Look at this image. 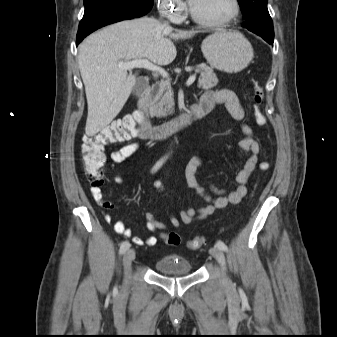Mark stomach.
Here are the masks:
<instances>
[{"mask_svg":"<svg viewBox=\"0 0 337 337\" xmlns=\"http://www.w3.org/2000/svg\"><path fill=\"white\" fill-rule=\"evenodd\" d=\"M201 49L212 67L227 73L242 71L253 59L250 42L237 31L214 33L204 39Z\"/></svg>","mask_w":337,"mask_h":337,"instance_id":"stomach-1","label":"stomach"}]
</instances>
